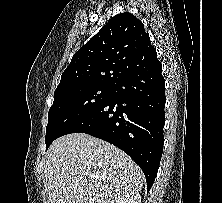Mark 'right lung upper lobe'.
Masks as SVG:
<instances>
[{
    "label": "right lung upper lobe",
    "mask_w": 222,
    "mask_h": 203,
    "mask_svg": "<svg viewBox=\"0 0 222 203\" xmlns=\"http://www.w3.org/2000/svg\"><path fill=\"white\" fill-rule=\"evenodd\" d=\"M157 59L142 22L129 12L112 17L72 57L55 91L83 85L112 87Z\"/></svg>",
    "instance_id": "cb5924a9"
}]
</instances>
